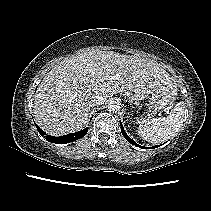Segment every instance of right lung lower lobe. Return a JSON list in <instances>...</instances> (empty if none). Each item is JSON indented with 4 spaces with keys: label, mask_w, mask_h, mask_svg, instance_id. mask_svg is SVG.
Segmentation results:
<instances>
[{
    "label": "right lung lower lobe",
    "mask_w": 211,
    "mask_h": 211,
    "mask_svg": "<svg viewBox=\"0 0 211 211\" xmlns=\"http://www.w3.org/2000/svg\"><path fill=\"white\" fill-rule=\"evenodd\" d=\"M36 127L42 136L46 135V133L42 129H40L37 125ZM87 131H88V128H85L81 131L71 133L65 136H61V137L46 136V140L52 143H56V144H66V143H70L82 138L87 133Z\"/></svg>",
    "instance_id": "98d812e1"
}]
</instances>
